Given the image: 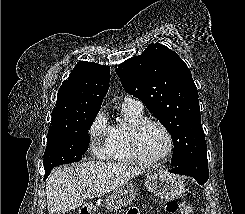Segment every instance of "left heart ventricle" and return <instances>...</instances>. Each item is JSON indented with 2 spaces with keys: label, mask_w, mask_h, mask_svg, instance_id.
Wrapping results in <instances>:
<instances>
[{
  "label": "left heart ventricle",
  "mask_w": 245,
  "mask_h": 214,
  "mask_svg": "<svg viewBox=\"0 0 245 214\" xmlns=\"http://www.w3.org/2000/svg\"><path fill=\"white\" fill-rule=\"evenodd\" d=\"M139 146L145 157L150 159L158 158L166 151V135L158 127L148 126L140 134Z\"/></svg>",
  "instance_id": "1"
}]
</instances>
